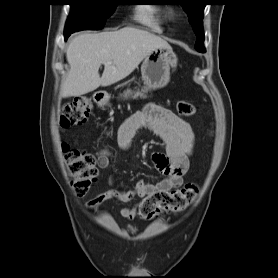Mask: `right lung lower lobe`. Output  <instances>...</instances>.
I'll return each instance as SVG.
<instances>
[{
	"label": "right lung lower lobe",
	"mask_w": 278,
	"mask_h": 278,
	"mask_svg": "<svg viewBox=\"0 0 278 278\" xmlns=\"http://www.w3.org/2000/svg\"><path fill=\"white\" fill-rule=\"evenodd\" d=\"M64 36H65V40H67V38L69 37V35L67 34H64Z\"/></svg>",
	"instance_id": "1"
}]
</instances>
